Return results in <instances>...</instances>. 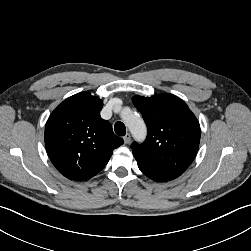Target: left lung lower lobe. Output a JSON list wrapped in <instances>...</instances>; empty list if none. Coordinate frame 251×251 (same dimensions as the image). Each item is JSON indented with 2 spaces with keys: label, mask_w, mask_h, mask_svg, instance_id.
<instances>
[{
  "label": "left lung lower lobe",
  "mask_w": 251,
  "mask_h": 251,
  "mask_svg": "<svg viewBox=\"0 0 251 251\" xmlns=\"http://www.w3.org/2000/svg\"><path fill=\"white\" fill-rule=\"evenodd\" d=\"M141 170V169H140ZM143 174H145L150 179L157 182H166L177 178L178 176L172 174H164V173H155L146 170H141Z\"/></svg>",
  "instance_id": "obj_1"
}]
</instances>
